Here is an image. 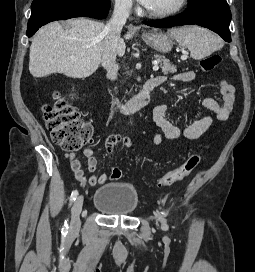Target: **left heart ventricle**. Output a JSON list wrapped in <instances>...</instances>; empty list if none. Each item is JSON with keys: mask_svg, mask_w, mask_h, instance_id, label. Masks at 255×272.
Segmentation results:
<instances>
[{"mask_svg": "<svg viewBox=\"0 0 255 272\" xmlns=\"http://www.w3.org/2000/svg\"><path fill=\"white\" fill-rule=\"evenodd\" d=\"M179 0H151L147 9L151 11H162L169 9L177 4Z\"/></svg>", "mask_w": 255, "mask_h": 272, "instance_id": "1", "label": "left heart ventricle"}]
</instances>
